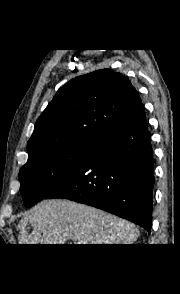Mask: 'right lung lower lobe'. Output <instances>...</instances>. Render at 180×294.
I'll return each mask as SVG.
<instances>
[{
    "label": "right lung lower lobe",
    "instance_id": "right-lung-lower-lobe-1",
    "mask_svg": "<svg viewBox=\"0 0 180 294\" xmlns=\"http://www.w3.org/2000/svg\"><path fill=\"white\" fill-rule=\"evenodd\" d=\"M153 184L151 136L140 105L100 137L78 169L46 199L84 203L150 231Z\"/></svg>",
    "mask_w": 180,
    "mask_h": 294
}]
</instances>
